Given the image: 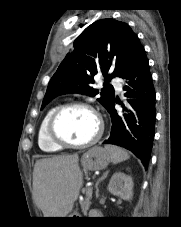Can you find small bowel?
<instances>
[{
	"label": "small bowel",
	"instance_id": "c3829d8e",
	"mask_svg": "<svg viewBox=\"0 0 181 227\" xmlns=\"http://www.w3.org/2000/svg\"><path fill=\"white\" fill-rule=\"evenodd\" d=\"M93 214H95V215H96V214H97V212H94Z\"/></svg>",
	"mask_w": 181,
	"mask_h": 227
}]
</instances>
